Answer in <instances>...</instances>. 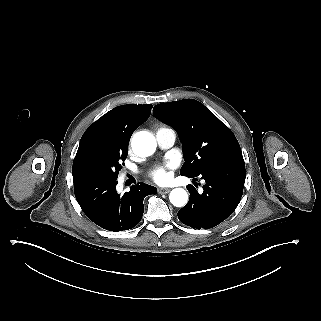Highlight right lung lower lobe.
I'll return each instance as SVG.
<instances>
[{
	"mask_svg": "<svg viewBox=\"0 0 321 321\" xmlns=\"http://www.w3.org/2000/svg\"><path fill=\"white\" fill-rule=\"evenodd\" d=\"M75 197L85 215L109 231L135 227L144 212L143 199L157 189L143 182L131 186L122 196L116 192V179L81 173L73 175Z\"/></svg>",
	"mask_w": 321,
	"mask_h": 321,
	"instance_id": "98d812e1",
	"label": "right lung lower lobe"
}]
</instances>
